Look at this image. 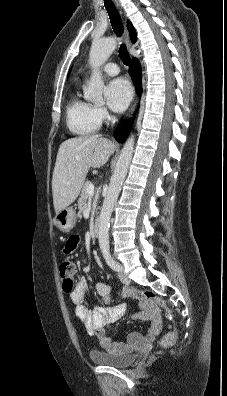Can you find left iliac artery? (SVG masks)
Here are the masks:
<instances>
[{"label":"left iliac artery","instance_id":"left-iliac-artery-1","mask_svg":"<svg viewBox=\"0 0 227 396\" xmlns=\"http://www.w3.org/2000/svg\"><path fill=\"white\" fill-rule=\"evenodd\" d=\"M104 258L106 260V263L109 265L110 268H112L115 271L120 270V265L114 261L110 253H105Z\"/></svg>","mask_w":227,"mask_h":396}]
</instances>
